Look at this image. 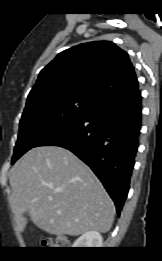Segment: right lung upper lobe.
I'll return each instance as SVG.
<instances>
[{"mask_svg":"<svg viewBox=\"0 0 162 261\" xmlns=\"http://www.w3.org/2000/svg\"><path fill=\"white\" fill-rule=\"evenodd\" d=\"M138 87L127 52L113 42L94 41L59 53L41 70L27 101L74 93L100 102Z\"/></svg>","mask_w":162,"mask_h":261,"instance_id":"right-lung-upper-lobe-1","label":"right lung upper lobe"}]
</instances>
